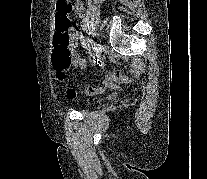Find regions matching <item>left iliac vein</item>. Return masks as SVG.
<instances>
[{
    "mask_svg": "<svg viewBox=\"0 0 207 179\" xmlns=\"http://www.w3.org/2000/svg\"><path fill=\"white\" fill-rule=\"evenodd\" d=\"M103 49H104L103 42H100L99 50L97 51V53L95 55V57H96L95 61L96 62H99L102 59V57H103V54H102Z\"/></svg>",
    "mask_w": 207,
    "mask_h": 179,
    "instance_id": "1",
    "label": "left iliac vein"
}]
</instances>
